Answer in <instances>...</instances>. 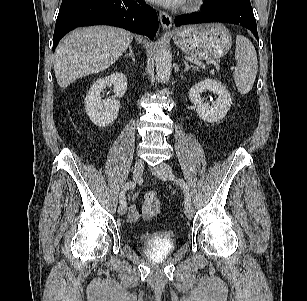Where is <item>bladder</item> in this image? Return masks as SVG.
Segmentation results:
<instances>
[{"instance_id": "bladder-1", "label": "bladder", "mask_w": 307, "mask_h": 301, "mask_svg": "<svg viewBox=\"0 0 307 301\" xmlns=\"http://www.w3.org/2000/svg\"><path fill=\"white\" fill-rule=\"evenodd\" d=\"M141 248L148 252L150 257L167 256L174 249L175 243L168 234L152 233L140 238Z\"/></svg>"}]
</instances>
